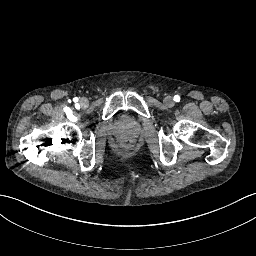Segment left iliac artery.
<instances>
[{
	"instance_id": "44dca946",
	"label": "left iliac artery",
	"mask_w": 256,
	"mask_h": 256,
	"mask_svg": "<svg viewBox=\"0 0 256 256\" xmlns=\"http://www.w3.org/2000/svg\"><path fill=\"white\" fill-rule=\"evenodd\" d=\"M174 101L179 102L180 101V97L178 95H175L174 96Z\"/></svg>"
}]
</instances>
